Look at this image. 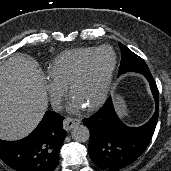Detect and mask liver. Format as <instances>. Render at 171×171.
<instances>
[{
	"label": "liver",
	"mask_w": 171,
	"mask_h": 171,
	"mask_svg": "<svg viewBox=\"0 0 171 171\" xmlns=\"http://www.w3.org/2000/svg\"><path fill=\"white\" fill-rule=\"evenodd\" d=\"M47 106L45 77L38 64L18 54L8 58L0 66V139L29 135Z\"/></svg>",
	"instance_id": "6515ba94"
}]
</instances>
